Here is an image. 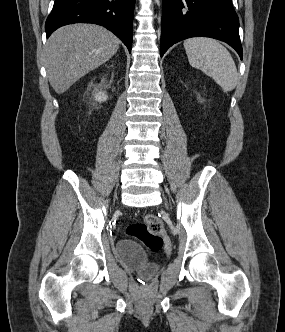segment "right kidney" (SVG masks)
I'll return each mask as SVG.
<instances>
[{
  "label": "right kidney",
  "instance_id": "obj_1",
  "mask_svg": "<svg viewBox=\"0 0 285 332\" xmlns=\"http://www.w3.org/2000/svg\"><path fill=\"white\" fill-rule=\"evenodd\" d=\"M94 98L98 102H104L107 100L108 96L105 92L99 91L98 93H95Z\"/></svg>",
  "mask_w": 285,
  "mask_h": 332
}]
</instances>
